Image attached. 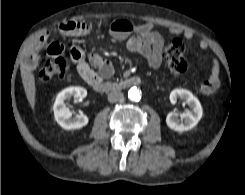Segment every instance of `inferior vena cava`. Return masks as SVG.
I'll use <instances>...</instances> for the list:
<instances>
[{"label": "inferior vena cava", "mask_w": 245, "mask_h": 195, "mask_svg": "<svg viewBox=\"0 0 245 195\" xmlns=\"http://www.w3.org/2000/svg\"><path fill=\"white\" fill-rule=\"evenodd\" d=\"M122 100H124V95L121 91L114 90L108 94L109 102H117V101H122Z\"/></svg>", "instance_id": "obj_1"}]
</instances>
